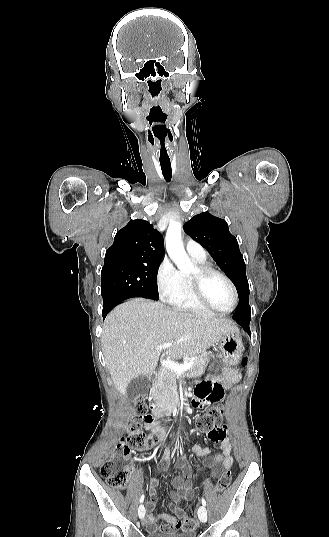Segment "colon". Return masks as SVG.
I'll return each instance as SVG.
<instances>
[{
  "label": "colon",
  "mask_w": 329,
  "mask_h": 537,
  "mask_svg": "<svg viewBox=\"0 0 329 537\" xmlns=\"http://www.w3.org/2000/svg\"><path fill=\"white\" fill-rule=\"evenodd\" d=\"M242 365L247 363V357L241 361ZM222 401V400H220ZM191 405L193 403L191 402ZM223 406H215L200 416L195 423V429L200 432L209 433L210 430H221L223 421ZM154 418L150 414L147 406L141 398L136 399V407L130 423L127 427L126 436L122 437L116 446L114 453L105 461L101 468V476L107 485L113 489H125L128 485L131 470L129 467V455L132 450L146 451L156 446L163 438V432L156 430L145 433L142 424L153 423ZM231 472L225 470L218 479L217 490L224 491L231 483ZM182 531L186 535L194 533L197 526L196 520L190 516L181 519Z\"/></svg>",
  "instance_id": "obj_1"
}]
</instances>
